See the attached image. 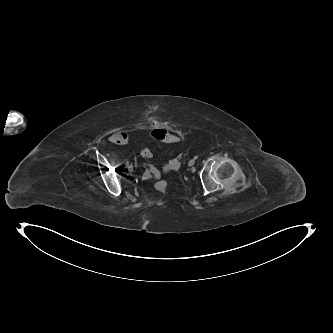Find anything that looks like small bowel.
Here are the masks:
<instances>
[{
    "instance_id": "1",
    "label": "small bowel",
    "mask_w": 333,
    "mask_h": 333,
    "mask_svg": "<svg viewBox=\"0 0 333 333\" xmlns=\"http://www.w3.org/2000/svg\"><path fill=\"white\" fill-rule=\"evenodd\" d=\"M153 131L151 132V139L154 140V138L152 136ZM109 139L113 143L123 144L126 141V139H127V135H126V133L124 131L119 130V131H115L114 133H112ZM144 177L148 178L150 176L148 175V173H145Z\"/></svg>"
}]
</instances>
